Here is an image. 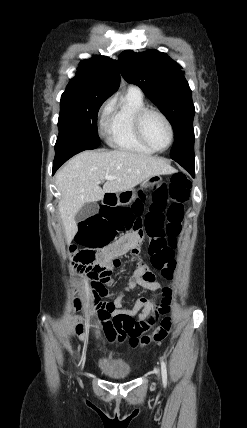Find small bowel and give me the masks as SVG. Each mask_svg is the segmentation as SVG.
I'll return each instance as SVG.
<instances>
[{"instance_id": "c3829d8e", "label": "small bowel", "mask_w": 247, "mask_h": 428, "mask_svg": "<svg viewBox=\"0 0 247 428\" xmlns=\"http://www.w3.org/2000/svg\"><path fill=\"white\" fill-rule=\"evenodd\" d=\"M142 239H143V234L141 233L134 232V233L127 234L121 237L120 239H118L113 244H111L109 247H107L101 253L102 259L106 262H111L113 260L119 259L120 256L124 255L130 250L135 252L137 251L138 246L140 245ZM154 279H155V276L150 271L148 266L143 263L139 264V266L132 273L128 283L123 288L113 293L114 301L111 303H108L110 315L112 317H125V318L133 317L135 318L136 321H138V319L140 318L141 319L153 318L156 321L158 316L157 317L154 316L155 309L153 308L152 304L149 301L148 302L150 303V306L134 305L131 309H123V300L126 292L136 287H144L152 290L161 289V285L159 283H156ZM113 284H114V281L111 278V280L107 283V286L110 287ZM162 291L165 296L164 301H170L171 299L170 289L162 288ZM138 300H146V299L141 298ZM98 301L99 300L95 297L94 305H96ZM158 309H160V307ZM78 337L81 340H84L86 338L85 334L78 335Z\"/></svg>"}]
</instances>
